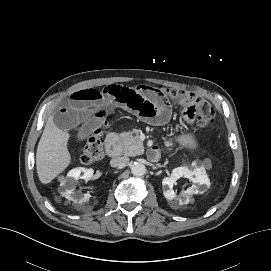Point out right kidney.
I'll use <instances>...</instances> for the list:
<instances>
[{
  "instance_id": "ca27d5eb",
  "label": "right kidney",
  "mask_w": 271,
  "mask_h": 271,
  "mask_svg": "<svg viewBox=\"0 0 271 271\" xmlns=\"http://www.w3.org/2000/svg\"><path fill=\"white\" fill-rule=\"evenodd\" d=\"M94 170L84 167H77L70 170L67 177L60 184V193L66 199L72 200L75 203L82 204L88 202L91 198L90 194L80 195L75 192V180L82 178L86 181L90 180L93 176Z\"/></svg>"
}]
</instances>
